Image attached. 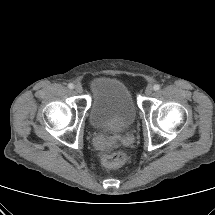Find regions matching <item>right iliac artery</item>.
<instances>
[{
  "instance_id": "1",
  "label": "right iliac artery",
  "mask_w": 215,
  "mask_h": 215,
  "mask_svg": "<svg viewBox=\"0 0 215 215\" xmlns=\"http://www.w3.org/2000/svg\"><path fill=\"white\" fill-rule=\"evenodd\" d=\"M68 88H69V89H73V88H74V85H73L72 83H69V84H68Z\"/></svg>"
}]
</instances>
